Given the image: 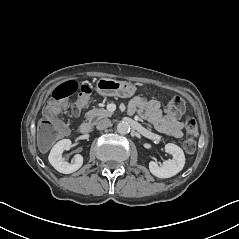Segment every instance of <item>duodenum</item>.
<instances>
[{
  "label": "duodenum",
  "mask_w": 239,
  "mask_h": 239,
  "mask_svg": "<svg viewBox=\"0 0 239 239\" xmlns=\"http://www.w3.org/2000/svg\"><path fill=\"white\" fill-rule=\"evenodd\" d=\"M91 131V124L89 122H83L79 126V133L82 135L88 134Z\"/></svg>",
  "instance_id": "obj_1"
}]
</instances>
